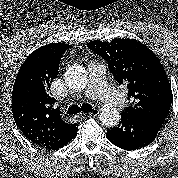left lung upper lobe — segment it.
Instances as JSON below:
<instances>
[{"instance_id":"obj_1","label":"left lung upper lobe","mask_w":178,"mask_h":178,"mask_svg":"<svg viewBox=\"0 0 178 178\" xmlns=\"http://www.w3.org/2000/svg\"><path fill=\"white\" fill-rule=\"evenodd\" d=\"M87 46L107 61L118 84L128 88L132 103L122 114L165 120L172 103V90L162 64L143 43L134 39L91 41Z\"/></svg>"}]
</instances>
